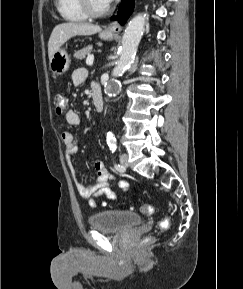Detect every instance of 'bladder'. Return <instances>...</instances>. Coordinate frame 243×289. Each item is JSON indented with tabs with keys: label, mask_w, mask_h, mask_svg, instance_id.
Returning a JSON list of instances; mask_svg holds the SVG:
<instances>
[{
	"label": "bladder",
	"mask_w": 243,
	"mask_h": 289,
	"mask_svg": "<svg viewBox=\"0 0 243 289\" xmlns=\"http://www.w3.org/2000/svg\"><path fill=\"white\" fill-rule=\"evenodd\" d=\"M141 223V217L136 213L119 210H106L90 216L91 228L113 233H124Z\"/></svg>",
	"instance_id": "1"
}]
</instances>
